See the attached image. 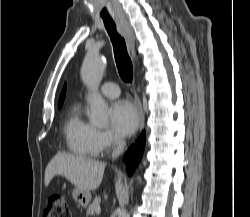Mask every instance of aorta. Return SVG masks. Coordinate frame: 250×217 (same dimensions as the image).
<instances>
[{"label":"aorta","mask_w":250,"mask_h":217,"mask_svg":"<svg viewBox=\"0 0 250 217\" xmlns=\"http://www.w3.org/2000/svg\"><path fill=\"white\" fill-rule=\"evenodd\" d=\"M105 68L106 63L100 54H87L81 68V78L89 90L87 97L90 104L89 119L91 123L101 127L108 123V104L98 92ZM119 217H129V215L122 209Z\"/></svg>","instance_id":"obj_1"}]
</instances>
